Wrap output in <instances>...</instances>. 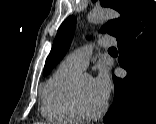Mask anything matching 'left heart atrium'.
<instances>
[{"label":"left heart atrium","mask_w":156,"mask_h":124,"mask_svg":"<svg viewBox=\"0 0 156 124\" xmlns=\"http://www.w3.org/2000/svg\"><path fill=\"white\" fill-rule=\"evenodd\" d=\"M94 87L100 97L106 101L111 92V79L106 69H100L97 76L92 79Z\"/></svg>","instance_id":"obj_1"}]
</instances>
